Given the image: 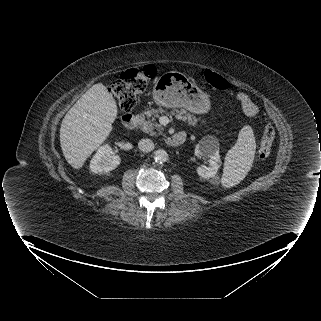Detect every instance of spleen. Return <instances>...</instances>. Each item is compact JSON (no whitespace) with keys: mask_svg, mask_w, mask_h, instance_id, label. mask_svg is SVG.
Returning a JSON list of instances; mask_svg holds the SVG:
<instances>
[{"mask_svg":"<svg viewBox=\"0 0 321 321\" xmlns=\"http://www.w3.org/2000/svg\"><path fill=\"white\" fill-rule=\"evenodd\" d=\"M255 150L253 130L245 125L239 132L236 144L226 154L222 176L224 187L235 186L244 179L253 163Z\"/></svg>","mask_w":321,"mask_h":321,"instance_id":"obj_1","label":"spleen"}]
</instances>
